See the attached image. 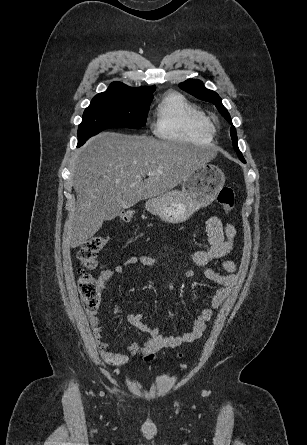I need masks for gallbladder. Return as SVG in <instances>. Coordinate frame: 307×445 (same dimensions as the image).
I'll list each match as a JSON object with an SVG mask.
<instances>
[{"label": "gallbladder", "mask_w": 307, "mask_h": 445, "mask_svg": "<svg viewBox=\"0 0 307 445\" xmlns=\"http://www.w3.org/2000/svg\"><path fill=\"white\" fill-rule=\"evenodd\" d=\"M106 209L107 215H105L104 220L105 222L110 223L113 218L117 217V211L121 209V206L117 203H109L107 204Z\"/></svg>", "instance_id": "bac80fb5"}]
</instances>
